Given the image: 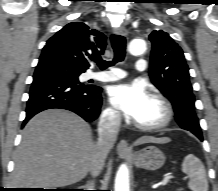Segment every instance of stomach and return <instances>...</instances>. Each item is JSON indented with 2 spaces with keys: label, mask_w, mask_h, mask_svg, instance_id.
<instances>
[{
  "label": "stomach",
  "mask_w": 218,
  "mask_h": 191,
  "mask_svg": "<svg viewBox=\"0 0 218 191\" xmlns=\"http://www.w3.org/2000/svg\"><path fill=\"white\" fill-rule=\"evenodd\" d=\"M166 157L161 150L155 146H148L133 156V162L138 168L155 171L165 163Z\"/></svg>",
  "instance_id": "obj_1"
}]
</instances>
